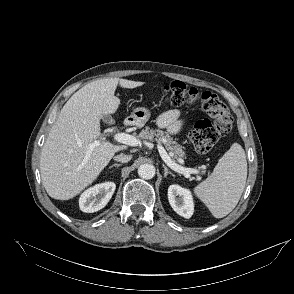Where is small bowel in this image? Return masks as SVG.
I'll return each mask as SVG.
<instances>
[{"mask_svg":"<svg viewBox=\"0 0 294 294\" xmlns=\"http://www.w3.org/2000/svg\"><path fill=\"white\" fill-rule=\"evenodd\" d=\"M161 128H165L170 134H176L182 127L180 112L178 110H169L164 112L157 121Z\"/></svg>","mask_w":294,"mask_h":294,"instance_id":"1","label":"small bowel"}]
</instances>
